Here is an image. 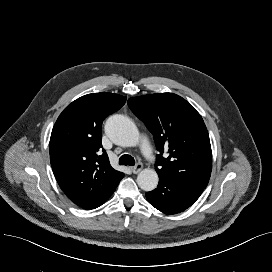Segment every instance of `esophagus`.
Instances as JSON below:
<instances>
[{"label": "esophagus", "instance_id": "obj_1", "mask_svg": "<svg viewBox=\"0 0 272 272\" xmlns=\"http://www.w3.org/2000/svg\"><path fill=\"white\" fill-rule=\"evenodd\" d=\"M142 168H143V165L141 163H138L135 166L131 167V170L133 173L137 174L142 170Z\"/></svg>", "mask_w": 272, "mask_h": 272}]
</instances>
